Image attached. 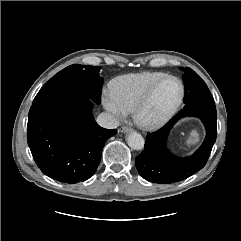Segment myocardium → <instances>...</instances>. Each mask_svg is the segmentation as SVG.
Masks as SVG:
<instances>
[{
	"instance_id": "obj_1",
	"label": "myocardium",
	"mask_w": 241,
	"mask_h": 241,
	"mask_svg": "<svg viewBox=\"0 0 241 241\" xmlns=\"http://www.w3.org/2000/svg\"><path fill=\"white\" fill-rule=\"evenodd\" d=\"M173 79L179 83L180 86V94L176 102L163 114L155 118H145L143 116V112L149 102L151 101L155 91L157 88L166 80ZM185 95V87L182 80L174 75H165L156 82H154L148 90L144 93V95L139 99V101L135 104L132 109V116L135 123L144 129H155L163 124H165L168 120L172 118V116L177 112L179 107L181 106Z\"/></svg>"
}]
</instances>
